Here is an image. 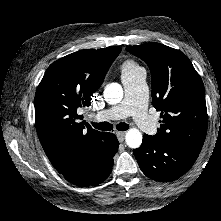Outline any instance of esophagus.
I'll return each instance as SVG.
<instances>
[{
  "label": "esophagus",
  "mask_w": 221,
  "mask_h": 221,
  "mask_svg": "<svg viewBox=\"0 0 221 221\" xmlns=\"http://www.w3.org/2000/svg\"><path fill=\"white\" fill-rule=\"evenodd\" d=\"M116 136L119 142H123L125 139V132H117Z\"/></svg>",
  "instance_id": "esophagus-1"
}]
</instances>
